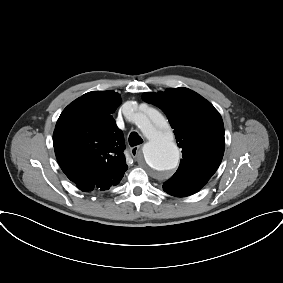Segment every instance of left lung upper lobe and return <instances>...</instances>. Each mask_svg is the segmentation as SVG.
<instances>
[{"mask_svg": "<svg viewBox=\"0 0 283 283\" xmlns=\"http://www.w3.org/2000/svg\"><path fill=\"white\" fill-rule=\"evenodd\" d=\"M143 99L161 108L174 129L182 157L176 173L163 187L202 188L218 169L224 154V125L218 111L188 88L144 93Z\"/></svg>", "mask_w": 283, "mask_h": 283, "instance_id": "1", "label": "left lung upper lobe"}]
</instances>
